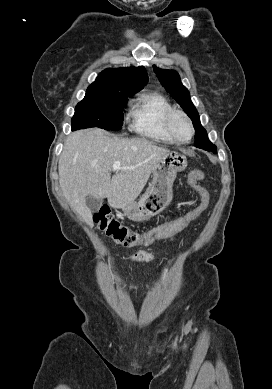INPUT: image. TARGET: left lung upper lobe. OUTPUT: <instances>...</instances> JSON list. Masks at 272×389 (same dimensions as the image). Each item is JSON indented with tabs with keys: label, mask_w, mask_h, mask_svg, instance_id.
Masks as SVG:
<instances>
[{
	"label": "left lung upper lobe",
	"mask_w": 272,
	"mask_h": 389,
	"mask_svg": "<svg viewBox=\"0 0 272 389\" xmlns=\"http://www.w3.org/2000/svg\"><path fill=\"white\" fill-rule=\"evenodd\" d=\"M153 69L166 91L176 99V102L180 104L192 120L196 133L195 147L215 153L216 146L209 141L207 132L200 123L199 114L190 99V93L182 85L179 74L174 70L159 69L155 65Z\"/></svg>",
	"instance_id": "obj_1"
}]
</instances>
